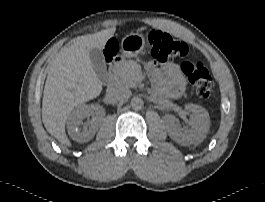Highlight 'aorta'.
Wrapping results in <instances>:
<instances>
[{"mask_svg": "<svg viewBox=\"0 0 265 202\" xmlns=\"http://www.w3.org/2000/svg\"><path fill=\"white\" fill-rule=\"evenodd\" d=\"M130 105L134 110H141L144 106V101L140 97H133Z\"/></svg>", "mask_w": 265, "mask_h": 202, "instance_id": "obj_1", "label": "aorta"}]
</instances>
